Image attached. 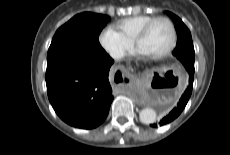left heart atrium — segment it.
Returning a JSON list of instances; mask_svg holds the SVG:
<instances>
[{
    "mask_svg": "<svg viewBox=\"0 0 230 155\" xmlns=\"http://www.w3.org/2000/svg\"><path fill=\"white\" fill-rule=\"evenodd\" d=\"M137 53H138V54L145 55V53H144L140 48L137 49Z\"/></svg>",
    "mask_w": 230,
    "mask_h": 155,
    "instance_id": "39dd6f15",
    "label": "left heart atrium"
}]
</instances>
